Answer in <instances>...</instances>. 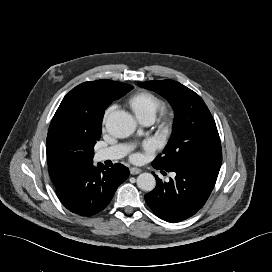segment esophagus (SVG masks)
Wrapping results in <instances>:
<instances>
[{
	"label": "esophagus",
	"instance_id": "34e87169",
	"mask_svg": "<svg viewBox=\"0 0 272 272\" xmlns=\"http://www.w3.org/2000/svg\"><path fill=\"white\" fill-rule=\"evenodd\" d=\"M141 169H139V168H136V167H131L130 168V174H132V175H136V174H139V173H141Z\"/></svg>",
	"mask_w": 272,
	"mask_h": 272
}]
</instances>
